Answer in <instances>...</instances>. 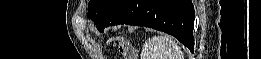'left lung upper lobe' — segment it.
Segmentation results:
<instances>
[{"label":"left lung upper lobe","instance_id":"obj_1","mask_svg":"<svg viewBox=\"0 0 261 59\" xmlns=\"http://www.w3.org/2000/svg\"><path fill=\"white\" fill-rule=\"evenodd\" d=\"M117 2H119V0H90L88 4V17L96 24L116 5Z\"/></svg>","mask_w":261,"mask_h":59}]
</instances>
